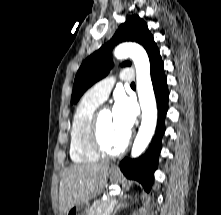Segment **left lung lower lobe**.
Here are the masks:
<instances>
[{
  "instance_id": "1",
  "label": "left lung lower lobe",
  "mask_w": 221,
  "mask_h": 215,
  "mask_svg": "<svg viewBox=\"0 0 221 215\" xmlns=\"http://www.w3.org/2000/svg\"><path fill=\"white\" fill-rule=\"evenodd\" d=\"M150 72L158 105V124L153 141L147 152L139 159L125 158L120 163V169L129 179L139 181L146 191L151 189L154 171L157 168L158 155L161 151V137L164 134V119L168 108V89L164 74V65L158 52L150 61Z\"/></svg>"
}]
</instances>
